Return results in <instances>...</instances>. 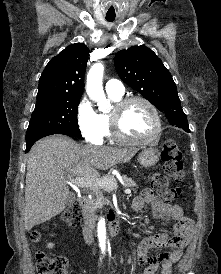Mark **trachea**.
<instances>
[{
  "mask_svg": "<svg viewBox=\"0 0 221 274\" xmlns=\"http://www.w3.org/2000/svg\"><path fill=\"white\" fill-rule=\"evenodd\" d=\"M114 19H115V17H108V16H106V20L109 21V22L114 21Z\"/></svg>",
  "mask_w": 221,
  "mask_h": 274,
  "instance_id": "1",
  "label": "trachea"
}]
</instances>
